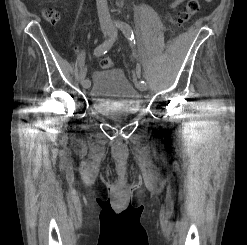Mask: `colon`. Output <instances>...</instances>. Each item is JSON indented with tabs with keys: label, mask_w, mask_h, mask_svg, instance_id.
Returning a JSON list of instances; mask_svg holds the SVG:
<instances>
[{
	"label": "colon",
	"mask_w": 247,
	"mask_h": 245,
	"mask_svg": "<svg viewBox=\"0 0 247 245\" xmlns=\"http://www.w3.org/2000/svg\"><path fill=\"white\" fill-rule=\"evenodd\" d=\"M200 9V0H186L185 4L179 9L176 14L175 21L178 25H183L188 22ZM44 17L49 22L58 20L59 15L53 9L44 10ZM100 66L103 69L112 66V60L109 57H104L100 60Z\"/></svg>",
	"instance_id": "obj_1"
}]
</instances>
